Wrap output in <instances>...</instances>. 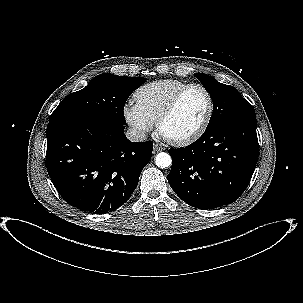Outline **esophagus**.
<instances>
[{
	"label": "esophagus",
	"mask_w": 303,
	"mask_h": 303,
	"mask_svg": "<svg viewBox=\"0 0 303 303\" xmlns=\"http://www.w3.org/2000/svg\"><path fill=\"white\" fill-rule=\"evenodd\" d=\"M163 150H165L164 147H162L158 144H154V150H153L154 153H157V152H160V151H163Z\"/></svg>",
	"instance_id": "obj_1"
}]
</instances>
